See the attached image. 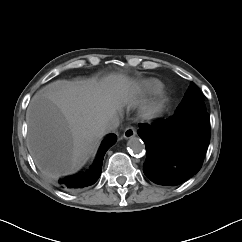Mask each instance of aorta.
Masks as SVG:
<instances>
[{
	"label": "aorta",
	"instance_id": "762f6f07",
	"mask_svg": "<svg viewBox=\"0 0 242 242\" xmlns=\"http://www.w3.org/2000/svg\"><path fill=\"white\" fill-rule=\"evenodd\" d=\"M127 145L128 150L134 154H142L145 150L144 142L138 137H131Z\"/></svg>",
	"mask_w": 242,
	"mask_h": 242
}]
</instances>
